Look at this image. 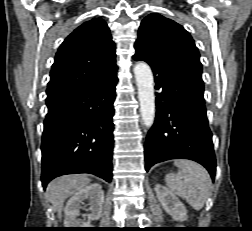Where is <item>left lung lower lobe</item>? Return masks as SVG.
<instances>
[{
    "mask_svg": "<svg viewBox=\"0 0 252 231\" xmlns=\"http://www.w3.org/2000/svg\"><path fill=\"white\" fill-rule=\"evenodd\" d=\"M134 60H144L133 56ZM155 75L156 117L145 143V169L184 158L215 177L216 159L208 126L202 72L178 62L146 61Z\"/></svg>",
    "mask_w": 252,
    "mask_h": 231,
    "instance_id": "1",
    "label": "left lung lower lobe"
}]
</instances>
